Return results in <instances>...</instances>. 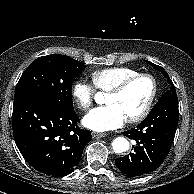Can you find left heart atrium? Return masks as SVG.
<instances>
[{"label":"left heart atrium","mask_w":194,"mask_h":194,"mask_svg":"<svg viewBox=\"0 0 194 194\" xmlns=\"http://www.w3.org/2000/svg\"><path fill=\"white\" fill-rule=\"evenodd\" d=\"M125 120L117 107L106 105L92 109L83 118V124L91 130L103 132L121 127Z\"/></svg>","instance_id":"left-heart-atrium-1"}]
</instances>
